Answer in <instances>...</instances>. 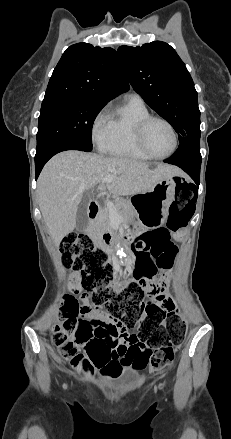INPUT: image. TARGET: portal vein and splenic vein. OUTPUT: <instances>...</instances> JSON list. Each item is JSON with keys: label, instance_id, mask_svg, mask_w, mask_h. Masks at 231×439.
Listing matches in <instances>:
<instances>
[{"label": "portal vein and splenic vein", "instance_id": "1", "mask_svg": "<svg viewBox=\"0 0 231 439\" xmlns=\"http://www.w3.org/2000/svg\"><path fill=\"white\" fill-rule=\"evenodd\" d=\"M112 180H113V177L108 176V177H105V178L103 179L102 183H103V184H104V183H109V182H111ZM106 205H107V207H108L109 210H110L111 218H112V219H118L119 217H118L117 211H116V209H115V207H114V204H113L111 201H106Z\"/></svg>", "mask_w": 231, "mask_h": 439}]
</instances>
